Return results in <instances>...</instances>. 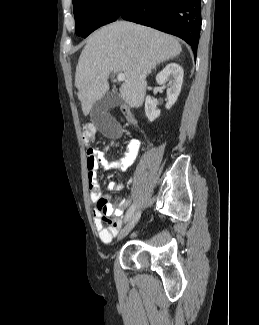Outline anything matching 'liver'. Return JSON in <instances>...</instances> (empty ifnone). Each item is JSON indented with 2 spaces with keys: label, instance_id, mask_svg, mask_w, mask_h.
Masks as SVG:
<instances>
[{
  "label": "liver",
  "instance_id": "6515ba94",
  "mask_svg": "<svg viewBox=\"0 0 259 325\" xmlns=\"http://www.w3.org/2000/svg\"><path fill=\"white\" fill-rule=\"evenodd\" d=\"M182 47L174 37L127 21H116L93 32L78 60L75 86L85 116L109 90L111 72L123 73L121 98L140 107L146 94V77L157 64L175 58Z\"/></svg>",
  "mask_w": 259,
  "mask_h": 325
}]
</instances>
